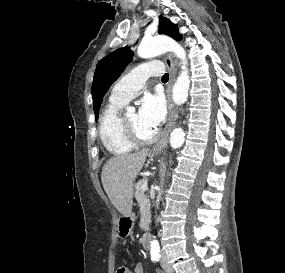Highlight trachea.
<instances>
[{"instance_id": "3493384b", "label": "trachea", "mask_w": 285, "mask_h": 273, "mask_svg": "<svg viewBox=\"0 0 285 273\" xmlns=\"http://www.w3.org/2000/svg\"><path fill=\"white\" fill-rule=\"evenodd\" d=\"M169 79V75L168 74H164L163 76H162V80H168Z\"/></svg>"}]
</instances>
